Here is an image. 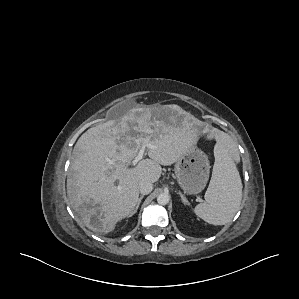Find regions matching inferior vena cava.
Wrapping results in <instances>:
<instances>
[{
  "label": "inferior vena cava",
  "instance_id": "obj_1",
  "mask_svg": "<svg viewBox=\"0 0 299 299\" xmlns=\"http://www.w3.org/2000/svg\"><path fill=\"white\" fill-rule=\"evenodd\" d=\"M153 190V184L148 181H141L139 183V191L142 195H147Z\"/></svg>",
  "mask_w": 299,
  "mask_h": 299
}]
</instances>
